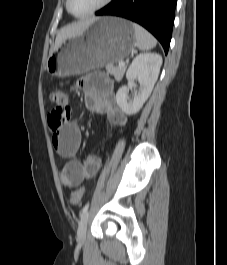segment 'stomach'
<instances>
[{
	"label": "stomach",
	"instance_id": "0dacf381",
	"mask_svg": "<svg viewBox=\"0 0 227 265\" xmlns=\"http://www.w3.org/2000/svg\"><path fill=\"white\" fill-rule=\"evenodd\" d=\"M135 40L130 21L98 18L80 35L66 39L55 48L47 58L46 70L52 76L68 77L113 65L130 54Z\"/></svg>",
	"mask_w": 227,
	"mask_h": 265
}]
</instances>
